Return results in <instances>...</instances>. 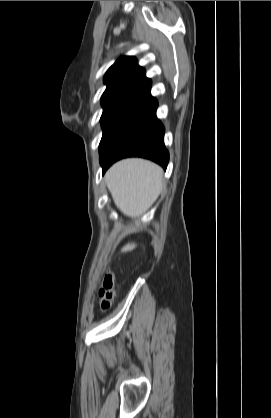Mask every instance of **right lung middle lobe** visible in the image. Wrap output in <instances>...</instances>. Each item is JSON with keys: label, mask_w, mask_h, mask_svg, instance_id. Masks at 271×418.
<instances>
[{"label": "right lung middle lobe", "mask_w": 271, "mask_h": 418, "mask_svg": "<svg viewBox=\"0 0 271 418\" xmlns=\"http://www.w3.org/2000/svg\"><path fill=\"white\" fill-rule=\"evenodd\" d=\"M102 106L103 136L99 145L100 154L123 130L154 107L150 103L127 99L102 103Z\"/></svg>", "instance_id": "obj_1"}]
</instances>
